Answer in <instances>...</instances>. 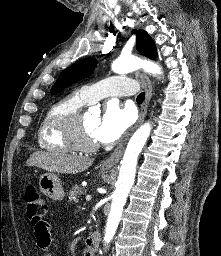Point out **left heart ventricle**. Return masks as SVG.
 <instances>
[{
  "mask_svg": "<svg viewBox=\"0 0 221 256\" xmlns=\"http://www.w3.org/2000/svg\"><path fill=\"white\" fill-rule=\"evenodd\" d=\"M83 122V132L87 140L91 142H96L94 136H93V131L96 128L99 118L94 115H83L82 118Z\"/></svg>",
  "mask_w": 221,
  "mask_h": 256,
  "instance_id": "obj_1",
  "label": "left heart ventricle"
}]
</instances>
